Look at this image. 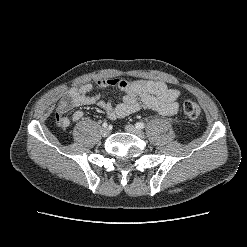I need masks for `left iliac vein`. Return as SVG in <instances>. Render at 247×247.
I'll list each match as a JSON object with an SVG mask.
<instances>
[{"instance_id": "left-iliac-vein-1", "label": "left iliac vein", "mask_w": 247, "mask_h": 247, "mask_svg": "<svg viewBox=\"0 0 247 247\" xmlns=\"http://www.w3.org/2000/svg\"><path fill=\"white\" fill-rule=\"evenodd\" d=\"M125 130L128 132V133H132V134H135L137 135L138 137L140 138H145V134L142 130L134 127L133 125H126L125 126Z\"/></svg>"}]
</instances>
